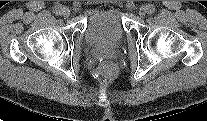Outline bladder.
<instances>
[{"label":"bladder","instance_id":"1","mask_svg":"<svg viewBox=\"0 0 207 121\" xmlns=\"http://www.w3.org/2000/svg\"><path fill=\"white\" fill-rule=\"evenodd\" d=\"M84 35L89 45L119 44L125 36L122 10L117 6L92 9L87 17Z\"/></svg>","mask_w":207,"mask_h":121}]
</instances>
